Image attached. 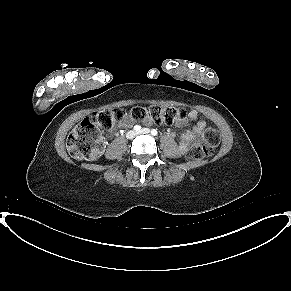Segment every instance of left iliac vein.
<instances>
[{"mask_svg":"<svg viewBox=\"0 0 291 291\" xmlns=\"http://www.w3.org/2000/svg\"><path fill=\"white\" fill-rule=\"evenodd\" d=\"M149 132H150V130L148 128H143L142 130L137 132V134H148Z\"/></svg>","mask_w":291,"mask_h":291,"instance_id":"obj_1","label":"left iliac vein"}]
</instances>
